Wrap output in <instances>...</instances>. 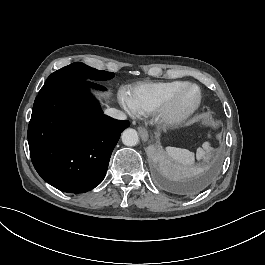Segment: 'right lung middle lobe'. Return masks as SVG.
<instances>
[{
    "label": "right lung middle lobe",
    "mask_w": 265,
    "mask_h": 265,
    "mask_svg": "<svg viewBox=\"0 0 265 265\" xmlns=\"http://www.w3.org/2000/svg\"><path fill=\"white\" fill-rule=\"evenodd\" d=\"M114 77V73L100 71L83 63H72L52 73L46 80L45 85L79 81V80H108Z\"/></svg>",
    "instance_id": "dd1d6c3e"
}]
</instances>
